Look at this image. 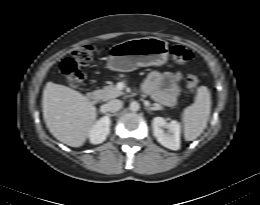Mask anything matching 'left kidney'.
I'll list each match as a JSON object with an SVG mask.
<instances>
[{
    "mask_svg": "<svg viewBox=\"0 0 260 205\" xmlns=\"http://www.w3.org/2000/svg\"><path fill=\"white\" fill-rule=\"evenodd\" d=\"M153 132L157 141L164 147L171 150L180 149V132L181 126L176 120L167 122L163 117H155L152 120ZM164 129H168L166 133Z\"/></svg>",
    "mask_w": 260,
    "mask_h": 205,
    "instance_id": "5707ae66",
    "label": "left kidney"
}]
</instances>
